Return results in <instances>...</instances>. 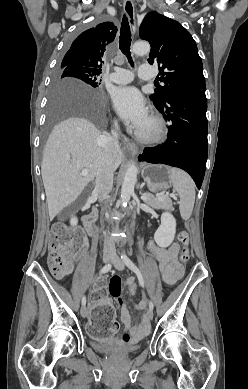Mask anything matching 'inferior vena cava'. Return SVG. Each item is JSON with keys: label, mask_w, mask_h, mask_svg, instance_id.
<instances>
[{"label": "inferior vena cava", "mask_w": 248, "mask_h": 389, "mask_svg": "<svg viewBox=\"0 0 248 389\" xmlns=\"http://www.w3.org/2000/svg\"><path fill=\"white\" fill-rule=\"evenodd\" d=\"M118 125L115 122V130H112V135L106 137L103 144V153L96 174V185L94 193L100 200H104L110 193L113 187V175L115 168V159L120 151L119 147ZM105 252H116L113 241L106 235L104 240Z\"/></svg>", "instance_id": "obj_1"}]
</instances>
